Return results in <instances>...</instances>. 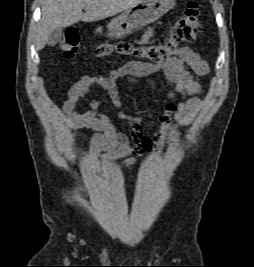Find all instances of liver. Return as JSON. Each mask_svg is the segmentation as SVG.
<instances>
[{
	"mask_svg": "<svg viewBox=\"0 0 254 267\" xmlns=\"http://www.w3.org/2000/svg\"><path fill=\"white\" fill-rule=\"evenodd\" d=\"M144 2V0H43L42 15L35 36L36 49L42 50L50 34L78 21L105 19ZM85 8V13H82Z\"/></svg>",
	"mask_w": 254,
	"mask_h": 267,
	"instance_id": "6515ba94",
	"label": "liver"
}]
</instances>
